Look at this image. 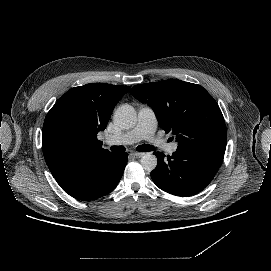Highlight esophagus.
Masks as SVG:
<instances>
[{
    "label": "esophagus",
    "mask_w": 271,
    "mask_h": 271,
    "mask_svg": "<svg viewBox=\"0 0 271 271\" xmlns=\"http://www.w3.org/2000/svg\"><path fill=\"white\" fill-rule=\"evenodd\" d=\"M132 154H133L134 156H136L137 158H140V157H142V156L145 155L144 152H133Z\"/></svg>",
    "instance_id": "esophagus-1"
}]
</instances>
